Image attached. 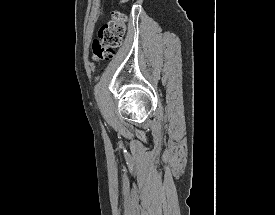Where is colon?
I'll use <instances>...</instances> for the list:
<instances>
[{
	"mask_svg": "<svg viewBox=\"0 0 275 215\" xmlns=\"http://www.w3.org/2000/svg\"><path fill=\"white\" fill-rule=\"evenodd\" d=\"M125 17L115 12L110 21L101 26L98 38L92 42V55L96 61H109L121 45L125 33Z\"/></svg>",
	"mask_w": 275,
	"mask_h": 215,
	"instance_id": "obj_1",
	"label": "colon"
}]
</instances>
